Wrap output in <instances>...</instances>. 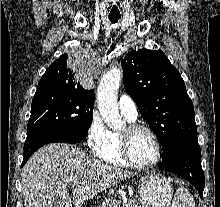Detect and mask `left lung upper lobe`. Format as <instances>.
Returning a JSON list of instances; mask_svg holds the SVG:
<instances>
[{
	"label": "left lung upper lobe",
	"mask_w": 220,
	"mask_h": 207,
	"mask_svg": "<svg viewBox=\"0 0 220 207\" xmlns=\"http://www.w3.org/2000/svg\"><path fill=\"white\" fill-rule=\"evenodd\" d=\"M121 64L125 90L164 150L197 134L194 107L184 81L161 50L131 51Z\"/></svg>",
	"instance_id": "left-lung-upper-lobe-1"
}]
</instances>
